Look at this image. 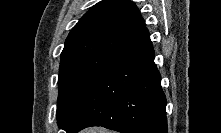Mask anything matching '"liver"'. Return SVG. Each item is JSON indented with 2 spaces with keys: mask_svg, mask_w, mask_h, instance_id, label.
Instances as JSON below:
<instances>
[{
  "mask_svg": "<svg viewBox=\"0 0 221 133\" xmlns=\"http://www.w3.org/2000/svg\"><path fill=\"white\" fill-rule=\"evenodd\" d=\"M82 133H108V131L101 128L98 129L92 128V129L83 130Z\"/></svg>",
  "mask_w": 221,
  "mask_h": 133,
  "instance_id": "obj_1",
  "label": "liver"
}]
</instances>
